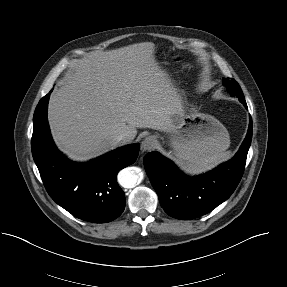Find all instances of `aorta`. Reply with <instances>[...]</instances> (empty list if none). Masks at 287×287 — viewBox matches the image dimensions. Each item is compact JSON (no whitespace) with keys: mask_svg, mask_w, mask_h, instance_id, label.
I'll return each mask as SVG.
<instances>
[{"mask_svg":"<svg viewBox=\"0 0 287 287\" xmlns=\"http://www.w3.org/2000/svg\"><path fill=\"white\" fill-rule=\"evenodd\" d=\"M118 180L124 188H133L139 183L140 176L134 168H126L119 173Z\"/></svg>","mask_w":287,"mask_h":287,"instance_id":"obj_1","label":"aorta"}]
</instances>
